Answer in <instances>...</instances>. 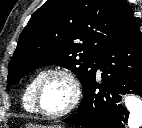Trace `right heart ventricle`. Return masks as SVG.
<instances>
[{"instance_id":"1","label":"right heart ventricle","mask_w":142,"mask_h":128,"mask_svg":"<svg viewBox=\"0 0 142 128\" xmlns=\"http://www.w3.org/2000/svg\"><path fill=\"white\" fill-rule=\"evenodd\" d=\"M44 71L37 72L26 84L23 93H22V105L24 109L28 112H36L35 103H34V91L39 77Z\"/></svg>"}]
</instances>
